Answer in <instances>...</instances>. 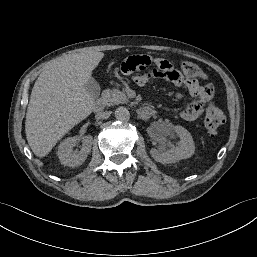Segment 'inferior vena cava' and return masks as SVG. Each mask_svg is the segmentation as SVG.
I'll return each instance as SVG.
<instances>
[{"mask_svg":"<svg viewBox=\"0 0 257 257\" xmlns=\"http://www.w3.org/2000/svg\"><path fill=\"white\" fill-rule=\"evenodd\" d=\"M111 115L110 111L98 112L96 115L97 119H107Z\"/></svg>","mask_w":257,"mask_h":257,"instance_id":"1","label":"inferior vena cava"}]
</instances>
